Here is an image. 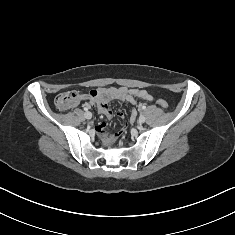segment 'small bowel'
Wrapping results in <instances>:
<instances>
[{
  "instance_id": "small-bowel-1",
  "label": "small bowel",
  "mask_w": 235,
  "mask_h": 235,
  "mask_svg": "<svg viewBox=\"0 0 235 235\" xmlns=\"http://www.w3.org/2000/svg\"><path fill=\"white\" fill-rule=\"evenodd\" d=\"M137 99L151 102L154 100L151 93L144 89L133 88L129 89L126 87H107V88H98L91 90L88 94L82 96V101L87 106L96 105L98 111L110 119L113 115L112 110L109 106V102L112 100H118L123 102H128L134 105ZM119 116H123L122 112L118 113ZM131 118H134L137 115L136 109L131 110ZM106 127L105 122L98 123L92 128L99 134L104 132Z\"/></svg>"
}]
</instances>
